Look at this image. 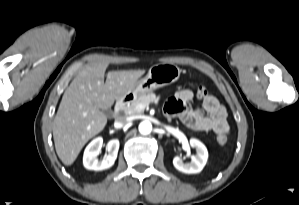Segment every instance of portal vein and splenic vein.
I'll list each match as a JSON object with an SVG mask.
<instances>
[{"instance_id":"1","label":"portal vein and splenic vein","mask_w":299,"mask_h":205,"mask_svg":"<svg viewBox=\"0 0 299 205\" xmlns=\"http://www.w3.org/2000/svg\"><path fill=\"white\" fill-rule=\"evenodd\" d=\"M139 109H144V106L143 105H139Z\"/></svg>"}]
</instances>
